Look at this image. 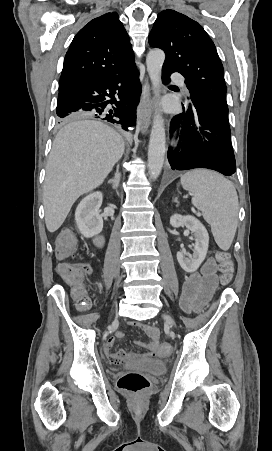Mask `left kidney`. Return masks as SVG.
I'll use <instances>...</instances> for the list:
<instances>
[{
  "instance_id": "1",
  "label": "left kidney",
  "mask_w": 272,
  "mask_h": 451,
  "mask_svg": "<svg viewBox=\"0 0 272 451\" xmlns=\"http://www.w3.org/2000/svg\"><path fill=\"white\" fill-rule=\"evenodd\" d=\"M170 224L173 227L186 226L188 229H191V233L195 237L192 255L183 253V251H177L176 255L185 271H196L202 261H204L208 249L209 235L206 227L194 216H180V214L171 216ZM186 255H189V257H186Z\"/></svg>"
}]
</instances>
